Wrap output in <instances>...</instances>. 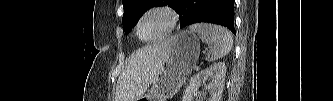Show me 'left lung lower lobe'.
Instances as JSON below:
<instances>
[{"instance_id": "0a47b994", "label": "left lung lower lobe", "mask_w": 333, "mask_h": 101, "mask_svg": "<svg viewBox=\"0 0 333 101\" xmlns=\"http://www.w3.org/2000/svg\"><path fill=\"white\" fill-rule=\"evenodd\" d=\"M179 2L181 28L193 23L208 22L225 26L235 33L234 0H180Z\"/></svg>"}]
</instances>
